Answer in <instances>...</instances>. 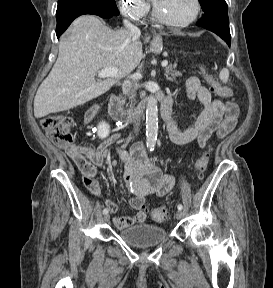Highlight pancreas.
<instances>
[{
	"mask_svg": "<svg viewBox=\"0 0 273 288\" xmlns=\"http://www.w3.org/2000/svg\"><path fill=\"white\" fill-rule=\"evenodd\" d=\"M181 73L175 69V66H168L165 68V76L168 80L172 81L175 77L180 76Z\"/></svg>",
	"mask_w": 273,
	"mask_h": 288,
	"instance_id": "cf45deb5",
	"label": "pancreas"
}]
</instances>
